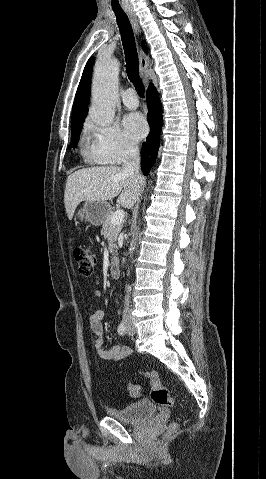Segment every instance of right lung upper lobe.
Instances as JSON below:
<instances>
[{
    "instance_id": "1",
    "label": "right lung upper lobe",
    "mask_w": 266,
    "mask_h": 479,
    "mask_svg": "<svg viewBox=\"0 0 266 479\" xmlns=\"http://www.w3.org/2000/svg\"><path fill=\"white\" fill-rule=\"evenodd\" d=\"M145 44V42H143ZM144 51L147 47L143 45ZM94 58L91 57L84 68L72 107V123L84 120L88 112V102L90 98V82L93 69Z\"/></svg>"
}]
</instances>
